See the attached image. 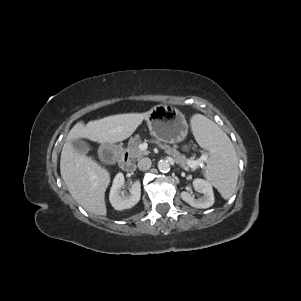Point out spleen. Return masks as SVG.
Instances as JSON below:
<instances>
[{
  "instance_id": "1",
  "label": "spleen",
  "mask_w": 301,
  "mask_h": 301,
  "mask_svg": "<svg viewBox=\"0 0 301 301\" xmlns=\"http://www.w3.org/2000/svg\"><path fill=\"white\" fill-rule=\"evenodd\" d=\"M191 127L198 143L209 151L205 178L229 199L238 181V159L235 148L223 130L207 117L196 114Z\"/></svg>"
}]
</instances>
